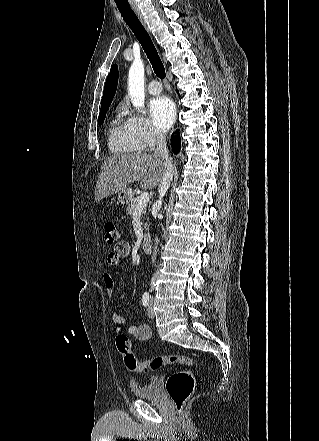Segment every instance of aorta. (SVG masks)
Masks as SVG:
<instances>
[{"label":"aorta","instance_id":"762f6f07","mask_svg":"<svg viewBox=\"0 0 319 441\" xmlns=\"http://www.w3.org/2000/svg\"><path fill=\"white\" fill-rule=\"evenodd\" d=\"M128 94L138 110H142L145 101L144 92V63L141 59H135L128 74Z\"/></svg>","mask_w":319,"mask_h":441}]
</instances>
